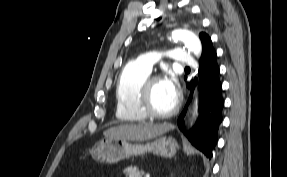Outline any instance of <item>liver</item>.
Listing matches in <instances>:
<instances>
[{
  "label": "liver",
  "mask_w": 287,
  "mask_h": 177,
  "mask_svg": "<svg viewBox=\"0 0 287 177\" xmlns=\"http://www.w3.org/2000/svg\"><path fill=\"white\" fill-rule=\"evenodd\" d=\"M174 125L169 123L153 124H122L106 130L103 134L106 138L124 139L128 141H144L156 138L169 130H172Z\"/></svg>",
  "instance_id": "liver-1"
}]
</instances>
